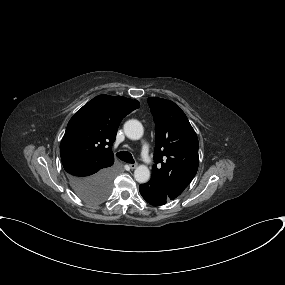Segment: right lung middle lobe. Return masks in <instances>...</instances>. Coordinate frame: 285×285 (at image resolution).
I'll list each match as a JSON object with an SVG mask.
<instances>
[{
  "label": "right lung middle lobe",
  "mask_w": 285,
  "mask_h": 285,
  "mask_svg": "<svg viewBox=\"0 0 285 285\" xmlns=\"http://www.w3.org/2000/svg\"><path fill=\"white\" fill-rule=\"evenodd\" d=\"M110 191L104 189L89 190L78 196L89 203H100L109 196Z\"/></svg>",
  "instance_id": "right-lung-middle-lobe-1"
}]
</instances>
